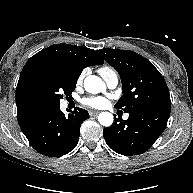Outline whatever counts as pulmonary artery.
<instances>
[{
  "label": "pulmonary artery",
  "mask_w": 193,
  "mask_h": 193,
  "mask_svg": "<svg viewBox=\"0 0 193 193\" xmlns=\"http://www.w3.org/2000/svg\"><path fill=\"white\" fill-rule=\"evenodd\" d=\"M103 77V79L105 80L107 86L110 88V89H114L118 83H119V76L118 74L115 72V71H110V72H107L103 75H101ZM125 119L128 118V114H126L124 116Z\"/></svg>",
  "instance_id": "pulmonary-artery-1"
}]
</instances>
